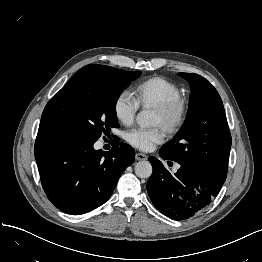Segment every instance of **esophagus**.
Here are the masks:
<instances>
[{"instance_id":"esophagus-1","label":"esophagus","mask_w":262,"mask_h":262,"mask_svg":"<svg viewBox=\"0 0 262 262\" xmlns=\"http://www.w3.org/2000/svg\"><path fill=\"white\" fill-rule=\"evenodd\" d=\"M147 158L148 157L145 154H143V153H136V155H135V159L137 161L147 160Z\"/></svg>"}]
</instances>
